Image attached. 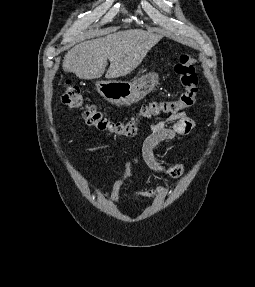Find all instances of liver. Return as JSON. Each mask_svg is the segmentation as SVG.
Instances as JSON below:
<instances>
[{
  "label": "liver",
  "instance_id": "liver-1",
  "mask_svg": "<svg viewBox=\"0 0 255 287\" xmlns=\"http://www.w3.org/2000/svg\"><path fill=\"white\" fill-rule=\"evenodd\" d=\"M162 38L145 30H123L104 38L86 40L69 50L63 66L80 80H96L103 76L107 60H110L105 78H120L131 74Z\"/></svg>",
  "mask_w": 255,
  "mask_h": 287
}]
</instances>
